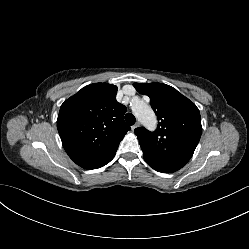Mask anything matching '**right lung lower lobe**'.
Masks as SVG:
<instances>
[{"label": "right lung lower lobe", "instance_id": "98d812e1", "mask_svg": "<svg viewBox=\"0 0 249 249\" xmlns=\"http://www.w3.org/2000/svg\"><path fill=\"white\" fill-rule=\"evenodd\" d=\"M115 154H116V150L106 155H103L101 157H98V158L78 161L76 162V164L85 169H97V168H100L106 165L108 162H110L115 156Z\"/></svg>", "mask_w": 249, "mask_h": 249}]
</instances>
